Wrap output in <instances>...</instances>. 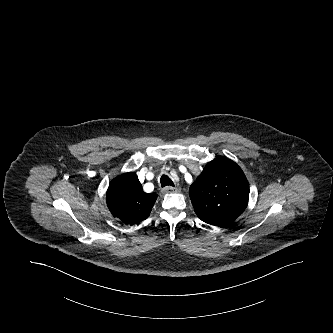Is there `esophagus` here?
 I'll list each match as a JSON object with an SVG mask.
<instances>
[{"label": "esophagus", "mask_w": 333, "mask_h": 333, "mask_svg": "<svg viewBox=\"0 0 333 333\" xmlns=\"http://www.w3.org/2000/svg\"><path fill=\"white\" fill-rule=\"evenodd\" d=\"M164 192H173V193H177L180 191L179 187H172V186H167L163 189Z\"/></svg>", "instance_id": "obj_1"}]
</instances>
